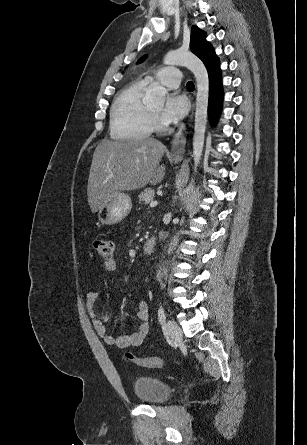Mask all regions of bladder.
<instances>
[{
  "instance_id": "obj_1",
  "label": "bladder",
  "mask_w": 307,
  "mask_h": 445,
  "mask_svg": "<svg viewBox=\"0 0 307 445\" xmlns=\"http://www.w3.org/2000/svg\"><path fill=\"white\" fill-rule=\"evenodd\" d=\"M136 398L146 405H160L172 395L171 386L155 377L143 376L133 383Z\"/></svg>"
}]
</instances>
